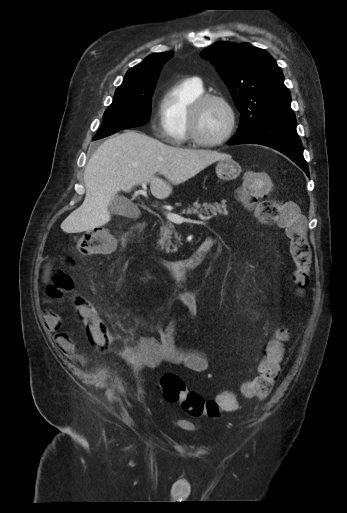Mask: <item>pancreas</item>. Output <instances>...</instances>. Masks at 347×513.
<instances>
[{
    "mask_svg": "<svg viewBox=\"0 0 347 513\" xmlns=\"http://www.w3.org/2000/svg\"><path fill=\"white\" fill-rule=\"evenodd\" d=\"M205 214L210 215V213L213 216H216L217 214L227 216L228 211L226 210V204L225 203H204L203 205H200L198 203H194L192 207H189L187 209H184L181 214ZM160 239L158 240V244L161 246V249H166V252H175L177 250L176 246L173 245V249H170V246L172 245L171 239L172 235L175 236L177 240H180V236H178V233L175 230L174 225L170 221H162V226L160 227Z\"/></svg>",
    "mask_w": 347,
    "mask_h": 513,
    "instance_id": "obj_1",
    "label": "pancreas"
}]
</instances>
